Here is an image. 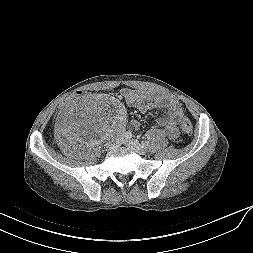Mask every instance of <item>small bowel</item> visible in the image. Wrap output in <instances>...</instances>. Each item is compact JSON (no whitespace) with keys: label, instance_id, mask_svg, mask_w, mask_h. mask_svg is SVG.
<instances>
[{"label":"small bowel","instance_id":"c3829d8e","mask_svg":"<svg viewBox=\"0 0 253 253\" xmlns=\"http://www.w3.org/2000/svg\"><path fill=\"white\" fill-rule=\"evenodd\" d=\"M121 95L128 106L141 112L154 108L164 109L165 116L158 118L156 125L164 129L169 138L176 139L178 137V124L184 117V108L179 101L151 92L127 88L121 91ZM132 125L137 128L139 124L137 121H133Z\"/></svg>","mask_w":253,"mask_h":253}]
</instances>
